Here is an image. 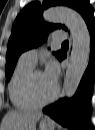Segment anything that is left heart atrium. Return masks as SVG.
Segmentation results:
<instances>
[{
    "label": "left heart atrium",
    "mask_w": 95,
    "mask_h": 130,
    "mask_svg": "<svg viewBox=\"0 0 95 130\" xmlns=\"http://www.w3.org/2000/svg\"><path fill=\"white\" fill-rule=\"evenodd\" d=\"M46 79L52 84H57L59 78V68L55 60L49 59L46 63L45 71L43 72Z\"/></svg>",
    "instance_id": "39dd6f15"
}]
</instances>
